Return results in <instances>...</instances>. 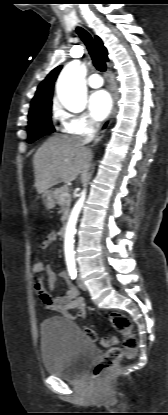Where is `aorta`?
Listing matches in <instances>:
<instances>
[{
	"label": "aorta",
	"instance_id": "1",
	"mask_svg": "<svg viewBox=\"0 0 168 415\" xmlns=\"http://www.w3.org/2000/svg\"><path fill=\"white\" fill-rule=\"evenodd\" d=\"M86 67L78 60L72 61L64 67L57 81V95L62 105L74 112L85 109L87 102V89L85 85ZM86 197L84 189L79 200L73 207L67 222L64 236V250L68 265H74V235L76 224Z\"/></svg>",
	"mask_w": 168,
	"mask_h": 415
}]
</instances>
